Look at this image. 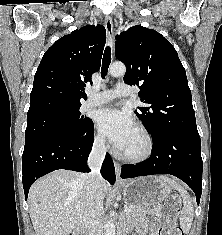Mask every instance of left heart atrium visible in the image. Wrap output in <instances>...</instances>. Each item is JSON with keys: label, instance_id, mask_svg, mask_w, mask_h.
<instances>
[{"label": "left heart atrium", "instance_id": "obj_1", "mask_svg": "<svg viewBox=\"0 0 222 235\" xmlns=\"http://www.w3.org/2000/svg\"><path fill=\"white\" fill-rule=\"evenodd\" d=\"M96 122L99 131L121 151L125 148L135 130L131 115L113 108L100 110Z\"/></svg>", "mask_w": 222, "mask_h": 235}]
</instances>
